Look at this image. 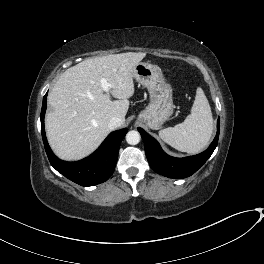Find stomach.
Here are the masks:
<instances>
[{"mask_svg":"<svg viewBox=\"0 0 264 264\" xmlns=\"http://www.w3.org/2000/svg\"><path fill=\"white\" fill-rule=\"evenodd\" d=\"M133 77L148 89L150 95V102L138 120L156 130L173 114L172 87L165 81L160 67L151 63L136 64Z\"/></svg>","mask_w":264,"mask_h":264,"instance_id":"1","label":"stomach"}]
</instances>
